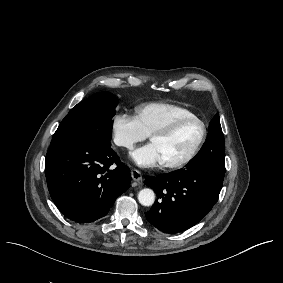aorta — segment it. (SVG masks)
<instances>
[{
  "instance_id": "1",
  "label": "aorta",
  "mask_w": 283,
  "mask_h": 283,
  "mask_svg": "<svg viewBox=\"0 0 283 283\" xmlns=\"http://www.w3.org/2000/svg\"><path fill=\"white\" fill-rule=\"evenodd\" d=\"M138 201L143 206H152L155 202V193L152 189L144 188L138 193Z\"/></svg>"
}]
</instances>
